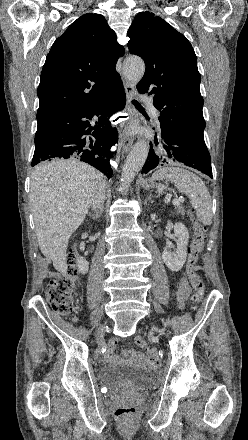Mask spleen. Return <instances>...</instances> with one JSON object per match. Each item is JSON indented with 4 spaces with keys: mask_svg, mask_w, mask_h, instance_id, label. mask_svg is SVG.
Masks as SVG:
<instances>
[{
    "mask_svg": "<svg viewBox=\"0 0 248 440\" xmlns=\"http://www.w3.org/2000/svg\"><path fill=\"white\" fill-rule=\"evenodd\" d=\"M153 180H168L179 192L185 194L196 210V215L204 225L212 224V200L202 181L194 173L180 167H164L152 175Z\"/></svg>",
    "mask_w": 248,
    "mask_h": 440,
    "instance_id": "obj_1",
    "label": "spleen"
}]
</instances>
